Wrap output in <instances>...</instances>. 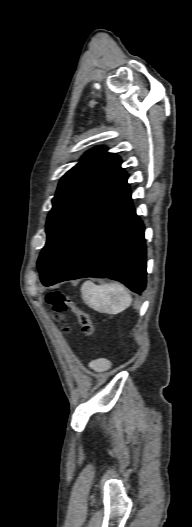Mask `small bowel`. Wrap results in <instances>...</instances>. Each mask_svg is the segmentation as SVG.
<instances>
[{
	"mask_svg": "<svg viewBox=\"0 0 192 527\" xmlns=\"http://www.w3.org/2000/svg\"><path fill=\"white\" fill-rule=\"evenodd\" d=\"M109 367V362L105 359H97L91 363V368L96 371H104Z\"/></svg>",
	"mask_w": 192,
	"mask_h": 527,
	"instance_id": "obj_1",
	"label": "small bowel"
}]
</instances>
